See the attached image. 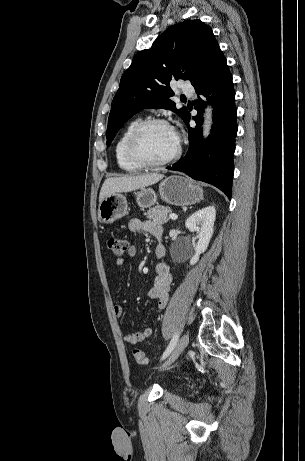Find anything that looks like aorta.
I'll return each instance as SVG.
<instances>
[{
	"mask_svg": "<svg viewBox=\"0 0 305 461\" xmlns=\"http://www.w3.org/2000/svg\"><path fill=\"white\" fill-rule=\"evenodd\" d=\"M212 125V108L207 107L204 113V122H203V136L207 137L210 133Z\"/></svg>",
	"mask_w": 305,
	"mask_h": 461,
	"instance_id": "aorta-1",
	"label": "aorta"
}]
</instances>
